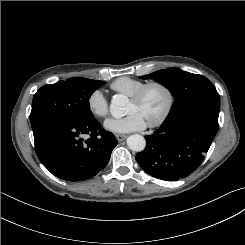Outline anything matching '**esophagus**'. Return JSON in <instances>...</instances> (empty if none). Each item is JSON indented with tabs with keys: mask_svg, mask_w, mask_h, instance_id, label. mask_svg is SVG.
Listing matches in <instances>:
<instances>
[{
	"mask_svg": "<svg viewBox=\"0 0 245 245\" xmlns=\"http://www.w3.org/2000/svg\"><path fill=\"white\" fill-rule=\"evenodd\" d=\"M116 139L121 142L123 141L127 136L126 135H123V134H116L115 135Z\"/></svg>",
	"mask_w": 245,
	"mask_h": 245,
	"instance_id": "esophagus-1",
	"label": "esophagus"
}]
</instances>
